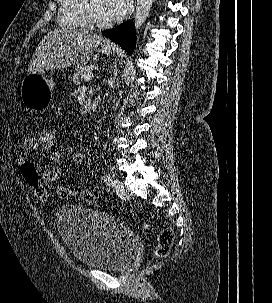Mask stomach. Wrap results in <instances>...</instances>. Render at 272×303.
<instances>
[{
	"label": "stomach",
	"mask_w": 272,
	"mask_h": 303,
	"mask_svg": "<svg viewBox=\"0 0 272 303\" xmlns=\"http://www.w3.org/2000/svg\"><path fill=\"white\" fill-rule=\"evenodd\" d=\"M102 53L110 55L114 47L103 45ZM54 92L53 81L43 73L27 74L21 83L22 102L28 110L46 109L52 101Z\"/></svg>",
	"instance_id": "1"
}]
</instances>
